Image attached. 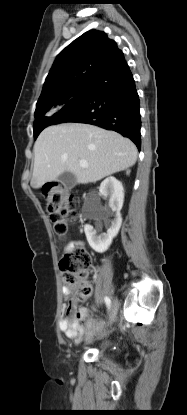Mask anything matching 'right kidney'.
<instances>
[{
  "instance_id": "ca27d5eb",
  "label": "right kidney",
  "mask_w": 187,
  "mask_h": 415,
  "mask_svg": "<svg viewBox=\"0 0 187 415\" xmlns=\"http://www.w3.org/2000/svg\"><path fill=\"white\" fill-rule=\"evenodd\" d=\"M99 193L105 198L109 197V207L112 212H115V218L106 233L97 235L96 230L89 224L84 226V231L91 248L98 253H103L117 236L122 224L120 210L124 201V189L122 183L115 177H108L101 183Z\"/></svg>"
}]
</instances>
